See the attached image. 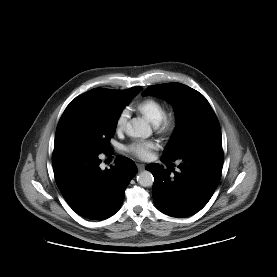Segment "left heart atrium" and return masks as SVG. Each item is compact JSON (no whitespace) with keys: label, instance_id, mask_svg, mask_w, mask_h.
I'll return each instance as SVG.
<instances>
[{"label":"left heart atrium","instance_id":"39dd6f15","mask_svg":"<svg viewBox=\"0 0 277 277\" xmlns=\"http://www.w3.org/2000/svg\"><path fill=\"white\" fill-rule=\"evenodd\" d=\"M158 148L154 140L135 141L127 146V151L139 159H149L153 150Z\"/></svg>","mask_w":277,"mask_h":277}]
</instances>
